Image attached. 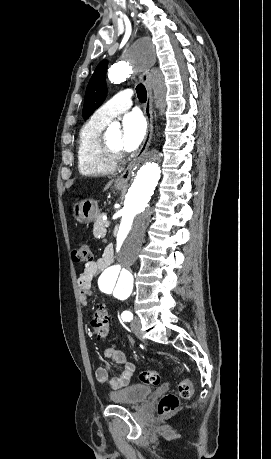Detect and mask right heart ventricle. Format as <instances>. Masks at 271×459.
Returning a JSON list of instances; mask_svg holds the SVG:
<instances>
[{"mask_svg":"<svg viewBox=\"0 0 271 459\" xmlns=\"http://www.w3.org/2000/svg\"><path fill=\"white\" fill-rule=\"evenodd\" d=\"M107 123L92 116L79 130L76 144V166L83 177H93L113 172L117 162L100 151V137Z\"/></svg>","mask_w":271,"mask_h":459,"instance_id":"1","label":"right heart ventricle"}]
</instances>
